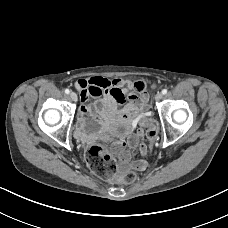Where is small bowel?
I'll list each match as a JSON object with an SVG mask.
<instances>
[{
    "label": "small bowel",
    "mask_w": 228,
    "mask_h": 228,
    "mask_svg": "<svg viewBox=\"0 0 228 228\" xmlns=\"http://www.w3.org/2000/svg\"><path fill=\"white\" fill-rule=\"evenodd\" d=\"M76 88L80 91L81 106L78 113L77 137L83 141L91 140V134L104 126L108 119L116 116V111L121 109L123 124L117 131L118 134H126L134 122H138L147 116L148 94L136 90L135 84L128 78H116L109 80L103 77H90L79 79ZM89 98L94 102L88 103ZM114 147L119 155L122 168H131L143 171L147 164L144 160H138L129 164L131 154L126 147H139L144 156L147 147L143 141V132L137 130L129 134L126 140L119 139Z\"/></svg>",
    "instance_id": "1"
}]
</instances>
